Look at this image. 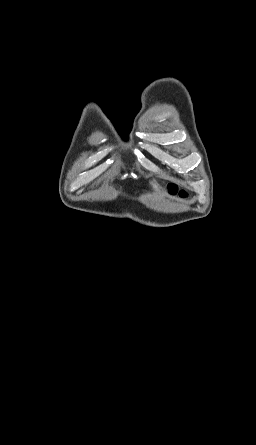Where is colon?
Masks as SVG:
<instances>
[{
    "label": "colon",
    "instance_id": "colon-1",
    "mask_svg": "<svg viewBox=\"0 0 256 445\" xmlns=\"http://www.w3.org/2000/svg\"><path fill=\"white\" fill-rule=\"evenodd\" d=\"M169 189L172 193H174L176 191V187L174 185H170ZM183 195V194H182Z\"/></svg>",
    "mask_w": 256,
    "mask_h": 445
}]
</instances>
